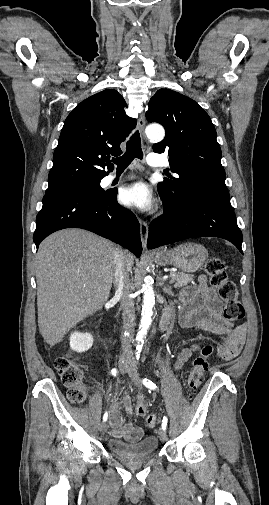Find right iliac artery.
I'll list each match as a JSON object with an SVG mask.
<instances>
[{"mask_svg": "<svg viewBox=\"0 0 269 505\" xmlns=\"http://www.w3.org/2000/svg\"><path fill=\"white\" fill-rule=\"evenodd\" d=\"M117 373H118V372H117V369H116V368H113V369L111 370V374H112L113 376H116V375H117ZM107 419H108V413H107V412H105V413H104V415H103V421H104V422H106V421H107Z\"/></svg>", "mask_w": 269, "mask_h": 505, "instance_id": "82829eb1", "label": "right iliac artery"}]
</instances>
